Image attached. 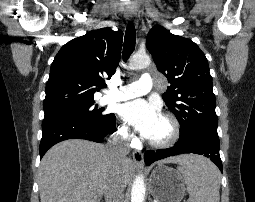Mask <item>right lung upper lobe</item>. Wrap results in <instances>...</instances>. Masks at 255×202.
Wrapping results in <instances>:
<instances>
[{
	"mask_svg": "<svg viewBox=\"0 0 255 202\" xmlns=\"http://www.w3.org/2000/svg\"><path fill=\"white\" fill-rule=\"evenodd\" d=\"M123 33L92 30L65 44L53 60L46 85L44 112L94 102L96 87H105L120 61Z\"/></svg>",
	"mask_w": 255,
	"mask_h": 202,
	"instance_id": "1",
	"label": "right lung upper lobe"
}]
</instances>
